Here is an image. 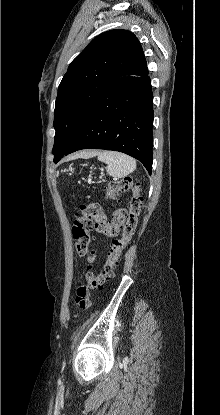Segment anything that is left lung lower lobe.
Here are the masks:
<instances>
[{
	"label": "left lung lower lobe",
	"mask_w": 220,
	"mask_h": 415,
	"mask_svg": "<svg viewBox=\"0 0 220 415\" xmlns=\"http://www.w3.org/2000/svg\"><path fill=\"white\" fill-rule=\"evenodd\" d=\"M153 94L148 68L122 76L107 88L64 155L81 149H106L138 159L151 175Z\"/></svg>",
	"instance_id": "left-lung-lower-lobe-1"
}]
</instances>
